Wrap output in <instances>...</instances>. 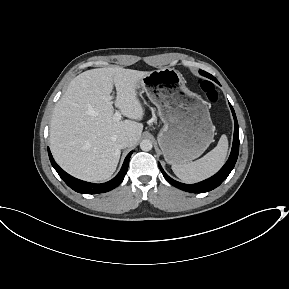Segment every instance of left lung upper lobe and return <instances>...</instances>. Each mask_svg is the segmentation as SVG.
Wrapping results in <instances>:
<instances>
[{
  "label": "left lung upper lobe",
  "instance_id": "5c2ea615",
  "mask_svg": "<svg viewBox=\"0 0 289 289\" xmlns=\"http://www.w3.org/2000/svg\"><path fill=\"white\" fill-rule=\"evenodd\" d=\"M199 73H200L201 75H203V76H205V77H208V78H210V79H212L213 81H215V82L218 83L217 79H216L214 76H212L211 74H209V73H207V72H205V71H203V70H200Z\"/></svg>",
  "mask_w": 289,
  "mask_h": 289
}]
</instances>
